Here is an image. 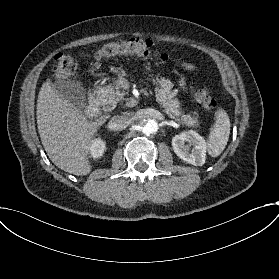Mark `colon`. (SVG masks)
I'll use <instances>...</instances> for the list:
<instances>
[{"mask_svg":"<svg viewBox=\"0 0 279 279\" xmlns=\"http://www.w3.org/2000/svg\"><path fill=\"white\" fill-rule=\"evenodd\" d=\"M151 43L144 39L116 40L106 42L99 46L94 53L97 60H103L115 56H142L149 57ZM162 61L169 60V55H160ZM175 62H179L177 59ZM76 67V60L68 54L58 53L54 60V69L62 74V77L71 75ZM196 99L201 108L207 111L216 109V102L206 87L200 86L196 91Z\"/></svg>","mask_w":279,"mask_h":279,"instance_id":"1","label":"colon"}]
</instances>
